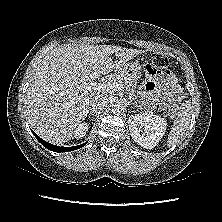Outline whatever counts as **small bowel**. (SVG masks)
I'll return each instance as SVG.
<instances>
[{"instance_id":"small-bowel-1","label":"small bowel","mask_w":222,"mask_h":222,"mask_svg":"<svg viewBox=\"0 0 222 222\" xmlns=\"http://www.w3.org/2000/svg\"><path fill=\"white\" fill-rule=\"evenodd\" d=\"M144 88L147 92L149 108L154 106L164 108L174 98L181 97V90L175 76L171 72H167L165 77L158 73L149 74Z\"/></svg>"}]
</instances>
